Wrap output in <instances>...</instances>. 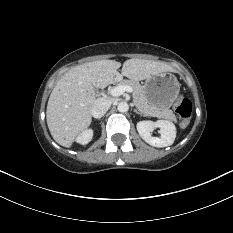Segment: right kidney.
Instances as JSON below:
<instances>
[{"instance_id": "1", "label": "right kidney", "mask_w": 233, "mask_h": 233, "mask_svg": "<svg viewBox=\"0 0 233 233\" xmlns=\"http://www.w3.org/2000/svg\"><path fill=\"white\" fill-rule=\"evenodd\" d=\"M92 138H93V130L87 129L77 136L76 141L79 144L86 145L92 140Z\"/></svg>"}]
</instances>
